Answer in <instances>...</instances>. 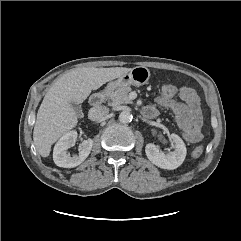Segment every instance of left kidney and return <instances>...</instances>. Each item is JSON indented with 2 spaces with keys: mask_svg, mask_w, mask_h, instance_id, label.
<instances>
[{
  "mask_svg": "<svg viewBox=\"0 0 241 241\" xmlns=\"http://www.w3.org/2000/svg\"><path fill=\"white\" fill-rule=\"evenodd\" d=\"M170 139L175 144V150L164 154L155 144L148 143L145 147L147 158L162 169L173 170L178 168L186 157V146L177 134H171Z\"/></svg>",
  "mask_w": 241,
  "mask_h": 241,
  "instance_id": "5707ae66",
  "label": "left kidney"
}]
</instances>
